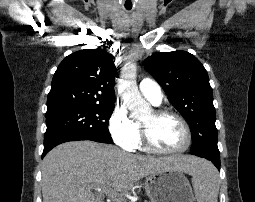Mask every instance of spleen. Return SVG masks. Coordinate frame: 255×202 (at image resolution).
Listing matches in <instances>:
<instances>
[{"label": "spleen", "instance_id": "obj_1", "mask_svg": "<svg viewBox=\"0 0 255 202\" xmlns=\"http://www.w3.org/2000/svg\"><path fill=\"white\" fill-rule=\"evenodd\" d=\"M192 184L198 202H218L219 175L207 161L197 165L192 174Z\"/></svg>", "mask_w": 255, "mask_h": 202}]
</instances>
